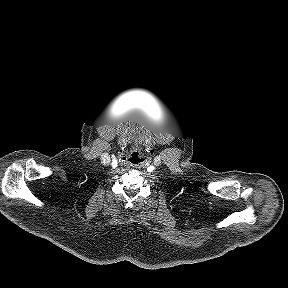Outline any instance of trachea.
I'll list each match as a JSON object with an SVG mask.
<instances>
[{
    "label": "trachea",
    "instance_id": "3493384b",
    "mask_svg": "<svg viewBox=\"0 0 288 288\" xmlns=\"http://www.w3.org/2000/svg\"><path fill=\"white\" fill-rule=\"evenodd\" d=\"M143 154L140 150H133L128 155V162L132 165H138L143 162Z\"/></svg>",
    "mask_w": 288,
    "mask_h": 288
}]
</instances>
